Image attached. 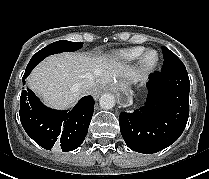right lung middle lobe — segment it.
<instances>
[{
  "instance_id": "1",
  "label": "right lung middle lobe",
  "mask_w": 209,
  "mask_h": 179,
  "mask_svg": "<svg viewBox=\"0 0 209 179\" xmlns=\"http://www.w3.org/2000/svg\"><path fill=\"white\" fill-rule=\"evenodd\" d=\"M83 46V42H70L66 40H60L54 43L49 44L45 48L38 51L34 56L31 58L27 68L25 70V74L32 71V69L41 62L44 58L49 55L57 54L61 52H72L80 49Z\"/></svg>"
}]
</instances>
